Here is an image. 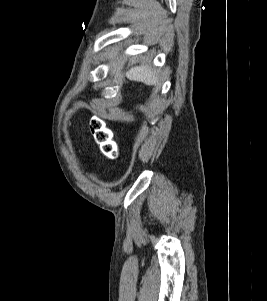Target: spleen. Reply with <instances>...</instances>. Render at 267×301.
<instances>
[{"instance_id": "obj_1", "label": "spleen", "mask_w": 267, "mask_h": 301, "mask_svg": "<svg viewBox=\"0 0 267 301\" xmlns=\"http://www.w3.org/2000/svg\"><path fill=\"white\" fill-rule=\"evenodd\" d=\"M126 76L130 80L140 81L146 85H156L158 83L156 72L147 65L131 68L126 72Z\"/></svg>"}]
</instances>
